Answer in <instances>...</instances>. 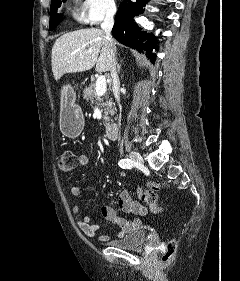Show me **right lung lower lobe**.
<instances>
[{"label":"right lung lower lobe","instance_id":"right-lung-lower-lobe-1","mask_svg":"<svg viewBox=\"0 0 240 281\" xmlns=\"http://www.w3.org/2000/svg\"><path fill=\"white\" fill-rule=\"evenodd\" d=\"M149 0H136L134 2L125 0L119 6L115 17V24L112 34L119 42L127 45L137 51L145 50L151 60H155L156 54L152 53V49H158L156 46V38L153 34H146L134 22L133 18L144 11V6ZM146 43H144V41Z\"/></svg>","mask_w":240,"mask_h":281}]
</instances>
